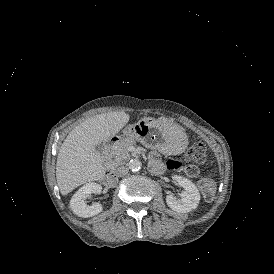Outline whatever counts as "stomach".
I'll use <instances>...</instances> for the list:
<instances>
[{"mask_svg": "<svg viewBox=\"0 0 274 274\" xmlns=\"http://www.w3.org/2000/svg\"><path fill=\"white\" fill-rule=\"evenodd\" d=\"M178 127L165 119L144 117L137 123L126 126L123 135L141 142L147 148L157 149L164 155H178L188 145L186 135L177 134Z\"/></svg>", "mask_w": 274, "mask_h": 274, "instance_id": "stomach-1", "label": "stomach"}]
</instances>
